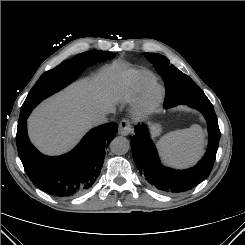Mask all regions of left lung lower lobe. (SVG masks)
<instances>
[{
	"instance_id": "obj_1",
	"label": "left lung lower lobe",
	"mask_w": 245,
	"mask_h": 245,
	"mask_svg": "<svg viewBox=\"0 0 245 245\" xmlns=\"http://www.w3.org/2000/svg\"><path fill=\"white\" fill-rule=\"evenodd\" d=\"M192 96L199 102L182 105L193 107L203 114L209 134L207 151L196 166L186 170L162 166L145 123L136 125L135 135L131 137L133 159L139 172L152 186L166 193H180L195 187L209 176L215 161L221 134L217 116L203 91H194ZM164 107L168 109L174 106L164 103Z\"/></svg>"
}]
</instances>
